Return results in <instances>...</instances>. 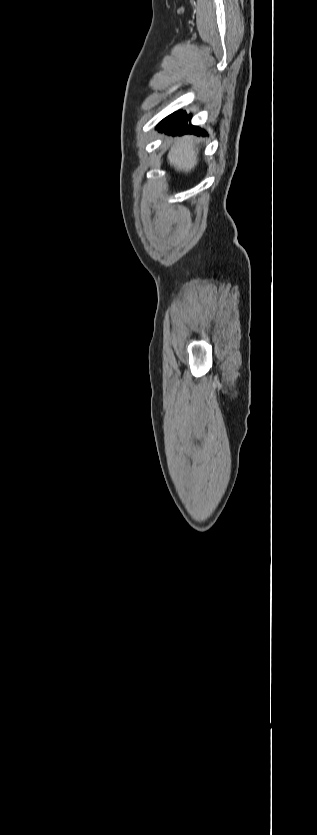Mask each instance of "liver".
<instances>
[{
  "instance_id": "obj_1",
  "label": "liver",
  "mask_w": 317,
  "mask_h": 835,
  "mask_svg": "<svg viewBox=\"0 0 317 835\" xmlns=\"http://www.w3.org/2000/svg\"><path fill=\"white\" fill-rule=\"evenodd\" d=\"M199 151L193 146V136L177 138L168 154L170 165L176 170L190 172L197 165Z\"/></svg>"
}]
</instances>
